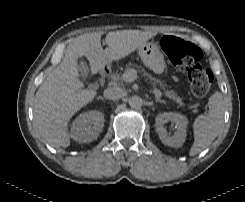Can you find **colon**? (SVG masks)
I'll return each mask as SVG.
<instances>
[{
    "label": "colon",
    "mask_w": 245,
    "mask_h": 202,
    "mask_svg": "<svg viewBox=\"0 0 245 202\" xmlns=\"http://www.w3.org/2000/svg\"><path fill=\"white\" fill-rule=\"evenodd\" d=\"M161 45L172 65L179 71L188 72L194 96L205 95L212 85L213 75L199 63L202 56L200 48L173 35H165Z\"/></svg>",
    "instance_id": "colon-1"
}]
</instances>
